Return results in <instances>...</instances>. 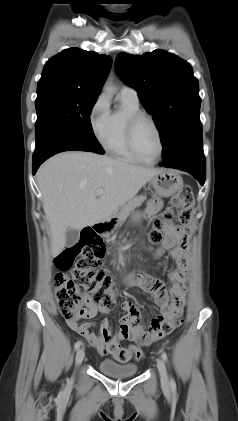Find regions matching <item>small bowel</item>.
Returning a JSON list of instances; mask_svg holds the SVG:
<instances>
[{"mask_svg":"<svg viewBox=\"0 0 238 421\" xmlns=\"http://www.w3.org/2000/svg\"><path fill=\"white\" fill-rule=\"evenodd\" d=\"M161 208L159 201H151L146 209L148 218L155 215ZM166 238L161 247L156 251V257H161L168 252L170 258L175 262L176 268L168 275L170 286L167 287L163 280L147 275L142 272L132 273L127 282L131 286H136L148 293L154 299L160 309V315L152 319L148 330L142 325V314L138 306L125 300L122 309L126 315L121 320L120 328L112 334L108 320L104 319L99 325L98 333L90 329L94 326L92 322H80L82 318L91 319L98 313L107 314L111 308L99 305L93 301L86 302V308L82 316L75 320H67L68 326L81 335L97 349L101 355L114 353L120 347L122 340H130L137 343L149 344L150 337L156 333L161 324L174 312L181 311L186 303L187 296V276L189 269L188 261V239L180 228L168 224L165 228Z\"/></svg>","mask_w":238,"mask_h":421,"instance_id":"1","label":"small bowel"}]
</instances>
